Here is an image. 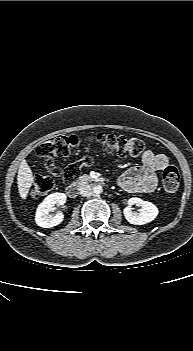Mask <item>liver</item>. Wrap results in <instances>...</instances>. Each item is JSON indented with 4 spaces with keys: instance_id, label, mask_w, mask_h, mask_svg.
Returning a JSON list of instances; mask_svg holds the SVG:
<instances>
[{
    "instance_id": "6515ba94",
    "label": "liver",
    "mask_w": 193,
    "mask_h": 351,
    "mask_svg": "<svg viewBox=\"0 0 193 351\" xmlns=\"http://www.w3.org/2000/svg\"><path fill=\"white\" fill-rule=\"evenodd\" d=\"M33 179V173L29 165L26 160H23L19 166L17 175L18 191L22 199L27 198Z\"/></svg>"
}]
</instances>
